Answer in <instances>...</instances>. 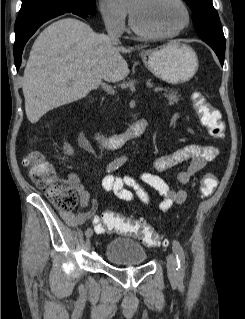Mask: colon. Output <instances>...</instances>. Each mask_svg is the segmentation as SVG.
Listing matches in <instances>:
<instances>
[{
    "instance_id": "1",
    "label": "colon",
    "mask_w": 245,
    "mask_h": 319,
    "mask_svg": "<svg viewBox=\"0 0 245 319\" xmlns=\"http://www.w3.org/2000/svg\"><path fill=\"white\" fill-rule=\"evenodd\" d=\"M193 104L202 125L207 129L210 136L215 139H223L225 137V125L221 120L219 111L200 94L193 96ZM25 163L29 168L33 182L45 192L57 209L70 212L77 207L79 199L69 179L56 178L50 163L39 153H30ZM216 185V176L212 173L206 174L201 182L202 193L204 195L212 193ZM103 222L109 231L136 236L148 247L160 245L157 232L144 220L106 211L103 214Z\"/></svg>"
}]
</instances>
